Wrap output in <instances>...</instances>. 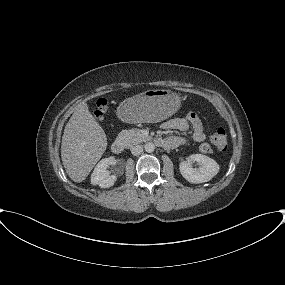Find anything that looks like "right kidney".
Returning a JSON list of instances; mask_svg holds the SVG:
<instances>
[{"instance_id":"1","label":"right kidney","mask_w":285,"mask_h":285,"mask_svg":"<svg viewBox=\"0 0 285 285\" xmlns=\"http://www.w3.org/2000/svg\"><path fill=\"white\" fill-rule=\"evenodd\" d=\"M114 157L102 159L95 167L91 174V184L98 185L101 188H109L114 185L117 180L116 175H110L106 170L107 167L115 163Z\"/></svg>"}]
</instances>
